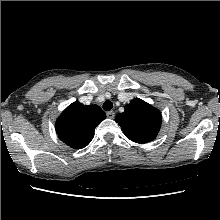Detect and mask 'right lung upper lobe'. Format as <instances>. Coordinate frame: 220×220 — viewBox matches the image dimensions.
<instances>
[{"label": "right lung upper lobe", "instance_id": "obj_1", "mask_svg": "<svg viewBox=\"0 0 220 220\" xmlns=\"http://www.w3.org/2000/svg\"><path fill=\"white\" fill-rule=\"evenodd\" d=\"M106 118L105 112L95 105L70 104L56 122L59 138L74 149L86 147L94 136L95 128Z\"/></svg>", "mask_w": 220, "mask_h": 220}]
</instances>
